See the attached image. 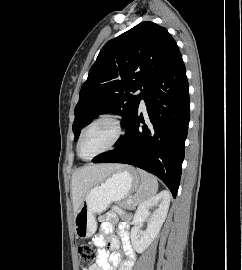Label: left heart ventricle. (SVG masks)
I'll use <instances>...</instances> for the list:
<instances>
[{"label": "left heart ventricle", "mask_w": 242, "mask_h": 270, "mask_svg": "<svg viewBox=\"0 0 242 270\" xmlns=\"http://www.w3.org/2000/svg\"><path fill=\"white\" fill-rule=\"evenodd\" d=\"M115 135L114 126L107 122L98 123L89 128L81 141L80 153L89 158L106 148Z\"/></svg>", "instance_id": "obj_1"}]
</instances>
